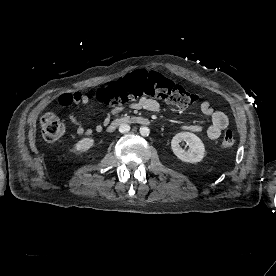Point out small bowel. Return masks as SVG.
I'll return each mask as SVG.
<instances>
[{
	"mask_svg": "<svg viewBox=\"0 0 276 276\" xmlns=\"http://www.w3.org/2000/svg\"><path fill=\"white\" fill-rule=\"evenodd\" d=\"M90 102L89 97L81 92L65 93L59 98V103L61 106L68 109V119L70 123L75 127L76 133L80 136H90L94 132H101L104 125H96L95 127L84 126L74 114L73 109L75 107L86 106ZM134 109H145L150 112H156L159 110V102L153 98L143 97L137 102L130 105ZM123 109L122 106L114 107L110 114H116ZM201 111L204 115L208 116L211 120V125L207 128V135L210 139L216 140L220 137L223 130H225L229 125V119L227 115L219 110H216L209 102H204L201 104ZM185 130L191 132H202L203 127L200 125H186Z\"/></svg>",
	"mask_w": 276,
	"mask_h": 276,
	"instance_id": "small-bowel-1",
	"label": "small bowel"
}]
</instances>
